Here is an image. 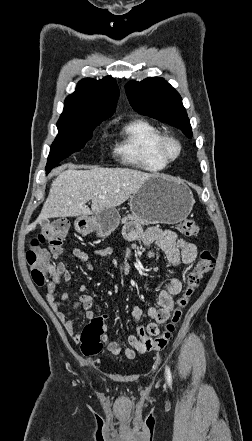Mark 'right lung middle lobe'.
<instances>
[{
	"label": "right lung middle lobe",
	"mask_w": 252,
	"mask_h": 441,
	"mask_svg": "<svg viewBox=\"0 0 252 441\" xmlns=\"http://www.w3.org/2000/svg\"><path fill=\"white\" fill-rule=\"evenodd\" d=\"M101 122L61 117L57 122L58 135L50 148L46 172L49 173L59 165V161L81 150Z\"/></svg>",
	"instance_id": "right-lung-middle-lobe-1"
}]
</instances>
